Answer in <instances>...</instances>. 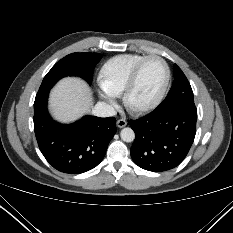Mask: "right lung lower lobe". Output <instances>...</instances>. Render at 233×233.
I'll return each instance as SVG.
<instances>
[{
	"instance_id": "obj_1",
	"label": "right lung lower lobe",
	"mask_w": 233,
	"mask_h": 233,
	"mask_svg": "<svg viewBox=\"0 0 233 233\" xmlns=\"http://www.w3.org/2000/svg\"><path fill=\"white\" fill-rule=\"evenodd\" d=\"M47 99L48 93L35 98L34 131L48 163L68 174H80L96 167L116 133V119L85 116L73 124L62 125L50 117Z\"/></svg>"
}]
</instances>
